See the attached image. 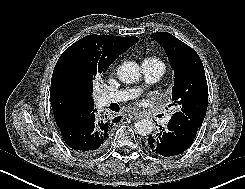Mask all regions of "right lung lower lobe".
Here are the masks:
<instances>
[{
  "instance_id": "98d812e1",
  "label": "right lung lower lobe",
  "mask_w": 245,
  "mask_h": 189,
  "mask_svg": "<svg viewBox=\"0 0 245 189\" xmlns=\"http://www.w3.org/2000/svg\"><path fill=\"white\" fill-rule=\"evenodd\" d=\"M86 111L81 116L58 125L66 144L79 153H96L102 150L109 138L112 128L121 120L98 117L96 110Z\"/></svg>"
}]
</instances>
